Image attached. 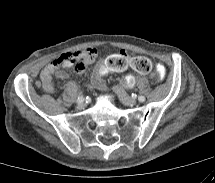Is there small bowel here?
Listing matches in <instances>:
<instances>
[{"label":"small bowel","instance_id":"1","mask_svg":"<svg viewBox=\"0 0 215 183\" xmlns=\"http://www.w3.org/2000/svg\"><path fill=\"white\" fill-rule=\"evenodd\" d=\"M80 53H83L88 57L87 64L76 69L79 73H83L88 65L95 62L98 56V51L95 48H88ZM58 60L59 58L54 59L43 69L40 75V85L43 90L49 94L54 93L56 89L53 77L56 76L60 79H65L67 76L66 73L60 69ZM126 68L133 75H146L152 69V60L146 54H133L129 57V55L123 50L120 52L107 53L96 65L92 81L94 87L102 91L105 90L101 74L110 75L114 71L121 72Z\"/></svg>","mask_w":215,"mask_h":183}]
</instances>
